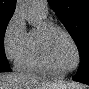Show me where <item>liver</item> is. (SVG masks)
<instances>
[{
	"instance_id": "1",
	"label": "liver",
	"mask_w": 89,
	"mask_h": 89,
	"mask_svg": "<svg viewBox=\"0 0 89 89\" xmlns=\"http://www.w3.org/2000/svg\"><path fill=\"white\" fill-rule=\"evenodd\" d=\"M68 87V88H66ZM1 89H83L79 86L65 85L63 83L49 82L37 77L21 73L0 75Z\"/></svg>"
}]
</instances>
